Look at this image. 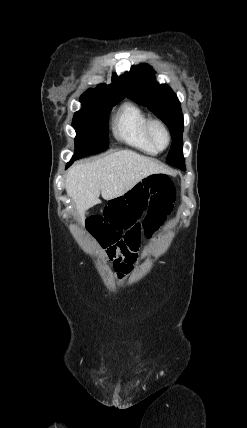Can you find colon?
<instances>
[{
    "label": "colon",
    "mask_w": 247,
    "mask_h": 428,
    "mask_svg": "<svg viewBox=\"0 0 247 428\" xmlns=\"http://www.w3.org/2000/svg\"><path fill=\"white\" fill-rule=\"evenodd\" d=\"M175 189L164 175H152L138 183L128 194H116L102 212H90L87 220L92 226L96 245L106 248L113 261L119 254L132 258L140 242L142 229L149 236L172 210ZM122 232H126L122 236Z\"/></svg>",
    "instance_id": "colon-1"
}]
</instances>
